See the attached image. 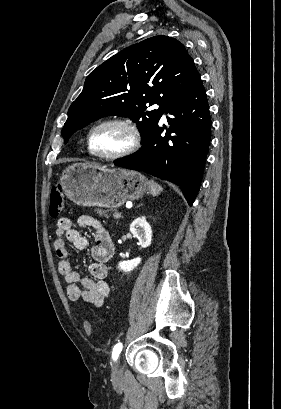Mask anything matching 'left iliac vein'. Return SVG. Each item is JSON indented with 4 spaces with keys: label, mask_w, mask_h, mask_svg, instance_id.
I'll return each mask as SVG.
<instances>
[{
    "label": "left iliac vein",
    "mask_w": 281,
    "mask_h": 409,
    "mask_svg": "<svg viewBox=\"0 0 281 409\" xmlns=\"http://www.w3.org/2000/svg\"><path fill=\"white\" fill-rule=\"evenodd\" d=\"M120 374H121L120 368H119L118 364L115 363L114 366H113L112 376L117 377Z\"/></svg>",
    "instance_id": "obj_1"
}]
</instances>
